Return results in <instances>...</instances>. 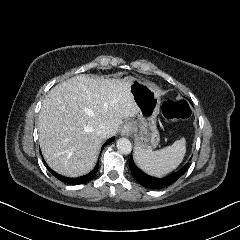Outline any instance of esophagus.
I'll return each mask as SVG.
<instances>
[{"instance_id": "obj_1", "label": "esophagus", "mask_w": 240, "mask_h": 240, "mask_svg": "<svg viewBox=\"0 0 240 240\" xmlns=\"http://www.w3.org/2000/svg\"><path fill=\"white\" fill-rule=\"evenodd\" d=\"M133 131V124L131 122H125L120 129V134L122 136L128 137Z\"/></svg>"}]
</instances>
